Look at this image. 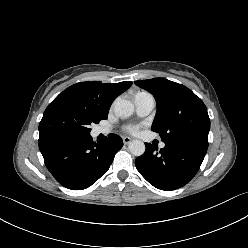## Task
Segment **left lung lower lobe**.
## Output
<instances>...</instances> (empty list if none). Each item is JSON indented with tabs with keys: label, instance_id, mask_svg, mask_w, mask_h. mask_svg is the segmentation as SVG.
<instances>
[{
	"label": "left lung lower lobe",
	"instance_id": "0a47b994",
	"mask_svg": "<svg viewBox=\"0 0 248 248\" xmlns=\"http://www.w3.org/2000/svg\"><path fill=\"white\" fill-rule=\"evenodd\" d=\"M208 143L199 141L166 142L158 148L146 143V151L135 165L139 173L154 187L170 191L187 184L198 172Z\"/></svg>",
	"mask_w": 248,
	"mask_h": 248
}]
</instances>
